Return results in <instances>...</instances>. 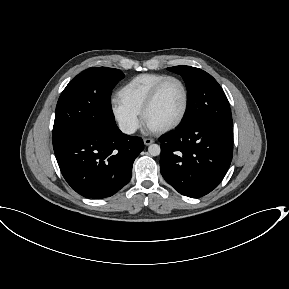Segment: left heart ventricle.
Returning a JSON list of instances; mask_svg holds the SVG:
<instances>
[{"instance_id": "b2bd125f", "label": "left heart ventricle", "mask_w": 289, "mask_h": 289, "mask_svg": "<svg viewBox=\"0 0 289 289\" xmlns=\"http://www.w3.org/2000/svg\"><path fill=\"white\" fill-rule=\"evenodd\" d=\"M184 93L176 81L167 82L160 90L146 116V123L157 129L174 122L183 109Z\"/></svg>"}]
</instances>
